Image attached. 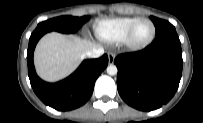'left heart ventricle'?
I'll use <instances>...</instances> for the list:
<instances>
[{
	"mask_svg": "<svg viewBox=\"0 0 203 123\" xmlns=\"http://www.w3.org/2000/svg\"><path fill=\"white\" fill-rule=\"evenodd\" d=\"M152 32V25L149 22H143L135 30L133 41L136 43H143L151 37Z\"/></svg>",
	"mask_w": 203,
	"mask_h": 123,
	"instance_id": "obj_1",
	"label": "left heart ventricle"
}]
</instances>
